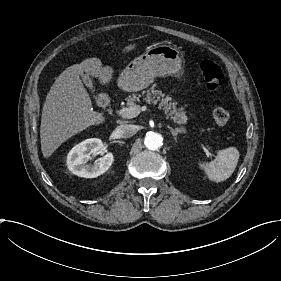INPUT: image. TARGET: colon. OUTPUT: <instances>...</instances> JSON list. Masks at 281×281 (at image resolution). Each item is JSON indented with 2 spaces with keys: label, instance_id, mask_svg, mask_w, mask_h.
I'll return each mask as SVG.
<instances>
[{
  "label": "colon",
  "instance_id": "colon-1",
  "mask_svg": "<svg viewBox=\"0 0 281 281\" xmlns=\"http://www.w3.org/2000/svg\"><path fill=\"white\" fill-rule=\"evenodd\" d=\"M200 70L206 86L211 90H217L224 86L225 75L223 71L212 61L204 60L200 64ZM229 113L224 109L214 112V120L218 126H226L229 122Z\"/></svg>",
  "mask_w": 281,
  "mask_h": 281
}]
</instances>
